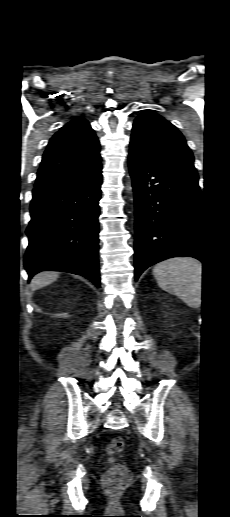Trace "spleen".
<instances>
[{"mask_svg":"<svg viewBox=\"0 0 230 517\" xmlns=\"http://www.w3.org/2000/svg\"><path fill=\"white\" fill-rule=\"evenodd\" d=\"M153 275L164 291L179 297L190 307L201 304L202 264L193 258H174L157 264Z\"/></svg>","mask_w":230,"mask_h":517,"instance_id":"1","label":"spleen"}]
</instances>
